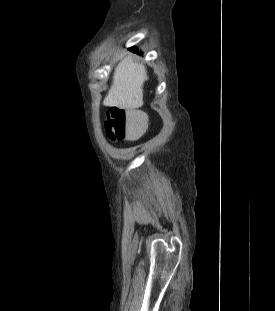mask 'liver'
<instances>
[{"instance_id": "obj_1", "label": "liver", "mask_w": 275, "mask_h": 311, "mask_svg": "<svg viewBox=\"0 0 275 311\" xmlns=\"http://www.w3.org/2000/svg\"><path fill=\"white\" fill-rule=\"evenodd\" d=\"M148 79L143 64L131 57L123 59L115 68L113 82L103 103L109 107L134 110L143 105V85Z\"/></svg>"}]
</instances>
